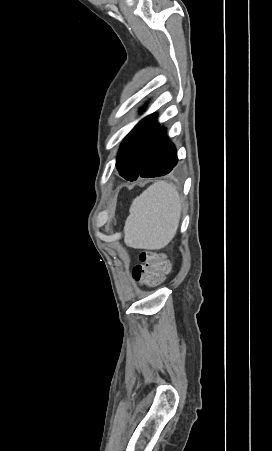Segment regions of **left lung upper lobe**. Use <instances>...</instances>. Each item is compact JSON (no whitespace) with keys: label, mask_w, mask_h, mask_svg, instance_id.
<instances>
[{"label":"left lung upper lobe","mask_w":272,"mask_h":451,"mask_svg":"<svg viewBox=\"0 0 272 451\" xmlns=\"http://www.w3.org/2000/svg\"><path fill=\"white\" fill-rule=\"evenodd\" d=\"M156 114L141 120L123 141L116 167L123 178L136 177L143 165L151 141L159 128Z\"/></svg>","instance_id":"1"}]
</instances>
